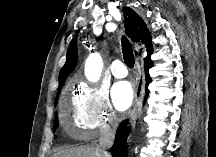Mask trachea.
I'll list each match as a JSON object with an SVG mask.
<instances>
[{"instance_id":"3493384b","label":"trachea","mask_w":216,"mask_h":157,"mask_svg":"<svg viewBox=\"0 0 216 157\" xmlns=\"http://www.w3.org/2000/svg\"><path fill=\"white\" fill-rule=\"evenodd\" d=\"M121 43H122V53H123L124 62L129 68H133L134 54H133L132 46L125 36L122 37Z\"/></svg>"}]
</instances>
